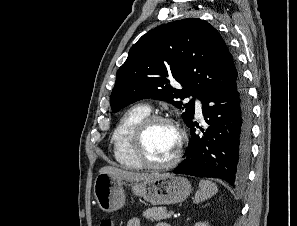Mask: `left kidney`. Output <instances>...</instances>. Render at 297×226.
Segmentation results:
<instances>
[{"mask_svg":"<svg viewBox=\"0 0 297 226\" xmlns=\"http://www.w3.org/2000/svg\"><path fill=\"white\" fill-rule=\"evenodd\" d=\"M194 226H209L206 222H198Z\"/></svg>","mask_w":297,"mask_h":226,"instance_id":"obj_1","label":"left kidney"}]
</instances>
